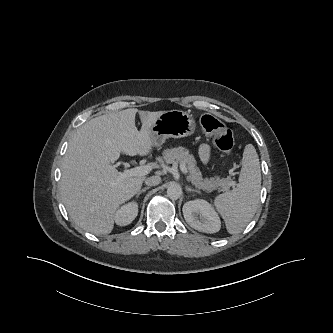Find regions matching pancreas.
Here are the masks:
<instances>
[{
    "label": "pancreas",
    "mask_w": 333,
    "mask_h": 333,
    "mask_svg": "<svg viewBox=\"0 0 333 333\" xmlns=\"http://www.w3.org/2000/svg\"><path fill=\"white\" fill-rule=\"evenodd\" d=\"M164 161L167 164L174 162H180L188 169V180L198 189L211 192L217 191H228L232 186L233 181L230 177L220 178H203L199 168L196 165V160L192 154L189 153L184 147L166 149L163 152Z\"/></svg>",
    "instance_id": "1"
}]
</instances>
